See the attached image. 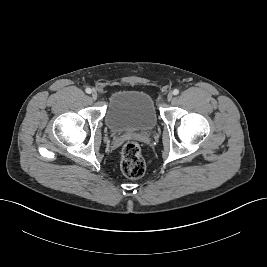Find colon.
<instances>
[{
    "mask_svg": "<svg viewBox=\"0 0 267 267\" xmlns=\"http://www.w3.org/2000/svg\"><path fill=\"white\" fill-rule=\"evenodd\" d=\"M121 169L130 179H137L145 172L142 150L137 142H127L122 149Z\"/></svg>",
    "mask_w": 267,
    "mask_h": 267,
    "instance_id": "5ec220e1",
    "label": "colon"
}]
</instances>
